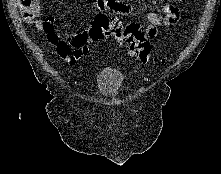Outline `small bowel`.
<instances>
[{
	"label": "small bowel",
	"instance_id": "obj_1",
	"mask_svg": "<svg viewBox=\"0 0 221 174\" xmlns=\"http://www.w3.org/2000/svg\"><path fill=\"white\" fill-rule=\"evenodd\" d=\"M94 7L97 11V15L104 14L106 10H110L117 15H131L136 11L133 5L127 4L122 0H95ZM179 18V9L174 4L165 5L162 14L150 11L146 15L147 24L144 28L145 33L149 39H153L157 35L158 27L174 25L179 21ZM35 26L47 37L49 42L54 45L57 54L68 64L73 65L87 55L88 48L86 43L88 40L84 39V32L71 34L67 40H61L54 30L53 20H42L38 18L35 21Z\"/></svg>",
	"mask_w": 221,
	"mask_h": 174
}]
</instances>
